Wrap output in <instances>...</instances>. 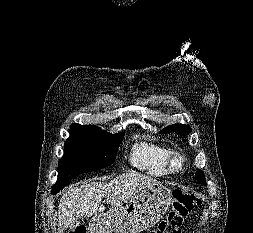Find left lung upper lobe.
Wrapping results in <instances>:
<instances>
[{
	"label": "left lung upper lobe",
	"instance_id": "5c2ea615",
	"mask_svg": "<svg viewBox=\"0 0 253 233\" xmlns=\"http://www.w3.org/2000/svg\"><path fill=\"white\" fill-rule=\"evenodd\" d=\"M161 132L163 133H169V132H176L180 135H188L191 132V128L188 125H182V124H174V125H170L168 127H166L165 129H163ZM195 178L203 183L204 185H206V181H205V177H204V173L201 170H197L196 174H195Z\"/></svg>",
	"mask_w": 253,
	"mask_h": 233
}]
</instances>
